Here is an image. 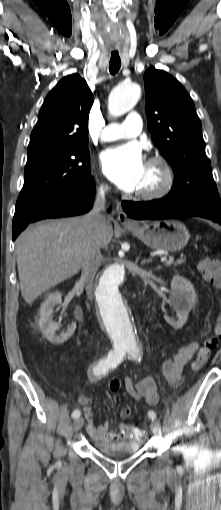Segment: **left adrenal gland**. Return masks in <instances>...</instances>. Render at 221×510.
I'll return each mask as SVG.
<instances>
[{
  "mask_svg": "<svg viewBox=\"0 0 221 510\" xmlns=\"http://www.w3.org/2000/svg\"><path fill=\"white\" fill-rule=\"evenodd\" d=\"M151 261H152L151 259L143 260V261H141V265L148 264V263H150Z\"/></svg>",
  "mask_w": 221,
  "mask_h": 510,
  "instance_id": "a2214340",
  "label": "left adrenal gland"
}]
</instances>
